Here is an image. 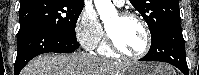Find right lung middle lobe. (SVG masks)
Returning <instances> with one entry per match:
<instances>
[{
	"label": "right lung middle lobe",
	"instance_id": "1",
	"mask_svg": "<svg viewBox=\"0 0 199 75\" xmlns=\"http://www.w3.org/2000/svg\"><path fill=\"white\" fill-rule=\"evenodd\" d=\"M84 3L67 0H35L20 3V29L42 27L76 40L75 27Z\"/></svg>",
	"mask_w": 199,
	"mask_h": 75
}]
</instances>
